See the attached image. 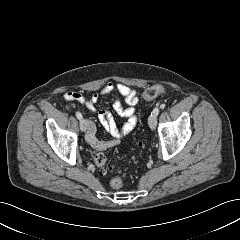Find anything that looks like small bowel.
Here are the masks:
<instances>
[{
	"mask_svg": "<svg viewBox=\"0 0 240 240\" xmlns=\"http://www.w3.org/2000/svg\"><path fill=\"white\" fill-rule=\"evenodd\" d=\"M117 92L128 105L124 107L119 99H114L112 108L114 112L127 119L123 126H118L112 114L105 109L97 111V103L102 95H109ZM66 101H76L84 104L89 110L97 111V119L99 124L108 132L112 139L100 140L96 137V124L93 120L87 121V142L96 150L103 151L117 146L120 140L129 135L136 126V105L138 96L135 89L124 83H106L99 92L94 93L90 97L84 96L80 92H67L64 95Z\"/></svg>",
	"mask_w": 240,
	"mask_h": 240,
	"instance_id": "1",
	"label": "small bowel"
}]
</instances>
